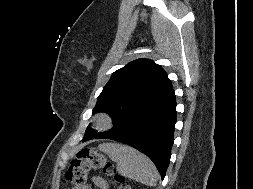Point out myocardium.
I'll list each match as a JSON object with an SVG mask.
<instances>
[{
	"label": "myocardium",
	"instance_id": "f54148a6",
	"mask_svg": "<svg viewBox=\"0 0 253 189\" xmlns=\"http://www.w3.org/2000/svg\"><path fill=\"white\" fill-rule=\"evenodd\" d=\"M97 126L100 129H106L111 125V118L108 115H101L96 121Z\"/></svg>",
	"mask_w": 253,
	"mask_h": 189
}]
</instances>
